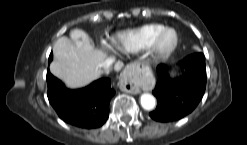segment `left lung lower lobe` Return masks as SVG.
Returning <instances> with one entry per match:
<instances>
[{
  "label": "left lung lower lobe",
  "mask_w": 247,
  "mask_h": 145,
  "mask_svg": "<svg viewBox=\"0 0 247 145\" xmlns=\"http://www.w3.org/2000/svg\"><path fill=\"white\" fill-rule=\"evenodd\" d=\"M185 73L178 79L168 76V68L159 65V79L153 94L158 106L150 113L157 121L168 122L181 119L191 113L200 102L206 88L205 57L202 53L186 57L182 63Z\"/></svg>",
  "instance_id": "1"
}]
</instances>
